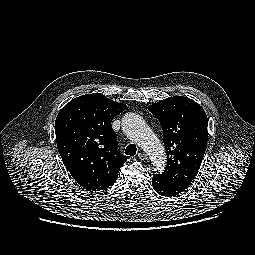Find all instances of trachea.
<instances>
[{"label": "trachea", "instance_id": "3493384b", "mask_svg": "<svg viewBox=\"0 0 255 255\" xmlns=\"http://www.w3.org/2000/svg\"><path fill=\"white\" fill-rule=\"evenodd\" d=\"M137 148L134 144H129L125 149V154L129 156H134L136 154Z\"/></svg>", "mask_w": 255, "mask_h": 255}]
</instances>
